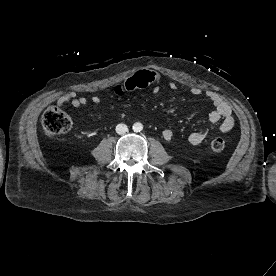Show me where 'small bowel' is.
Listing matches in <instances>:
<instances>
[{"mask_svg": "<svg viewBox=\"0 0 276 276\" xmlns=\"http://www.w3.org/2000/svg\"><path fill=\"white\" fill-rule=\"evenodd\" d=\"M162 81V76L159 72L149 69H142L137 71L133 76L127 79L124 83L116 88L117 95H123L125 92L145 89L150 86H157ZM166 84L171 90L177 89V83L171 79L166 80ZM190 93L193 96L205 94L210 99L214 106L213 112L210 114V122L213 124L219 123L218 132L225 134L230 132L235 125V119L230 104L223 99L218 93L206 90L203 91L200 87L194 86L190 88ZM92 103H99L100 97L93 95L90 97ZM88 102L87 98L78 96L75 92H67L57 98V105L71 104L73 107H82ZM166 141L173 139V132L170 129H165L162 133ZM206 138V135L201 132H194L188 136V142L192 145L201 144Z\"/></svg>", "mask_w": 276, "mask_h": 276, "instance_id": "c3829d8e", "label": "small bowel"}]
</instances>
